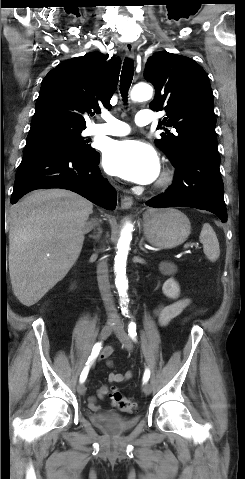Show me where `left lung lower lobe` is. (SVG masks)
<instances>
[{
	"mask_svg": "<svg viewBox=\"0 0 245 479\" xmlns=\"http://www.w3.org/2000/svg\"><path fill=\"white\" fill-rule=\"evenodd\" d=\"M217 149H200L183 156L173 165L176 169L172 185L165 193L147 201L155 208L186 206L207 210L227 221L223 181Z\"/></svg>",
	"mask_w": 245,
	"mask_h": 479,
	"instance_id": "left-lung-lower-lobe-1",
	"label": "left lung lower lobe"
}]
</instances>
